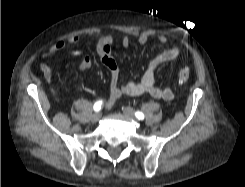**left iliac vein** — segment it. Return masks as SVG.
<instances>
[{
	"label": "left iliac vein",
	"mask_w": 245,
	"mask_h": 187,
	"mask_svg": "<svg viewBox=\"0 0 245 187\" xmlns=\"http://www.w3.org/2000/svg\"><path fill=\"white\" fill-rule=\"evenodd\" d=\"M123 113H124V115H126L130 118H135V112H134L133 108H131V107H125L123 109Z\"/></svg>",
	"instance_id": "4c4485c4"
}]
</instances>
